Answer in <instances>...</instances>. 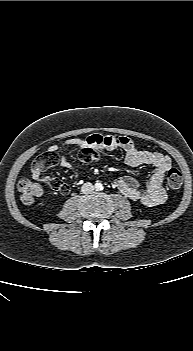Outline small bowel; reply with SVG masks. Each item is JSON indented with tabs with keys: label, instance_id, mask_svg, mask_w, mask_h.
I'll return each instance as SVG.
<instances>
[{
	"label": "small bowel",
	"instance_id": "obj_1",
	"mask_svg": "<svg viewBox=\"0 0 193 351\" xmlns=\"http://www.w3.org/2000/svg\"><path fill=\"white\" fill-rule=\"evenodd\" d=\"M86 146L93 150L105 151H112L120 148L125 152V162L127 165L131 167H152V173L149 176L147 187L144 190L140 189L138 182L130 176L118 178L115 184L124 196L144 206L154 207L166 201L167 195L162 184L166 172L172 166V160L169 156L158 152L142 150L138 148L130 138L125 136H102L98 134L90 136L87 140L71 138L60 143L52 144L48 147V151L58 152L61 150L64 154H71L76 150V147L82 149ZM60 165L71 171L73 177L77 178V173L73 165L65 155L61 156ZM32 177L35 180H42L49 185L53 180L50 177L43 176L42 172L33 170Z\"/></svg>",
	"mask_w": 193,
	"mask_h": 351
}]
</instances>
